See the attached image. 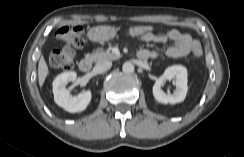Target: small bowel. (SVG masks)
I'll list each match as a JSON object with an SVG mask.
<instances>
[{"label":"small bowel","instance_id":"small-bowel-1","mask_svg":"<svg viewBox=\"0 0 244 157\" xmlns=\"http://www.w3.org/2000/svg\"><path fill=\"white\" fill-rule=\"evenodd\" d=\"M144 42L167 43L173 41V45L169 46L165 53L169 57H182L189 54L192 49V38L189 34L180 32L176 29L165 32H156L139 37ZM159 55L157 50L141 49L138 56L141 59H155Z\"/></svg>","mask_w":244,"mask_h":157}]
</instances>
